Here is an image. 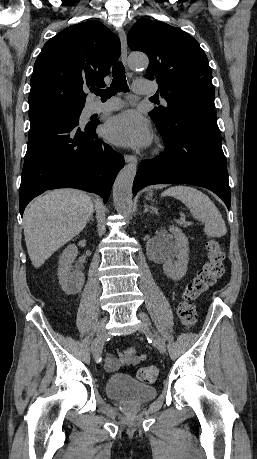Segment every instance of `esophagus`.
<instances>
[{
	"label": "esophagus",
	"instance_id": "34e87169",
	"mask_svg": "<svg viewBox=\"0 0 257 459\" xmlns=\"http://www.w3.org/2000/svg\"><path fill=\"white\" fill-rule=\"evenodd\" d=\"M119 38L121 42V58L123 63L126 65L127 64V40H126V33L123 28L119 29ZM125 162L127 163H136L137 158L134 155L126 154L124 156Z\"/></svg>",
	"mask_w": 257,
	"mask_h": 459
}]
</instances>
